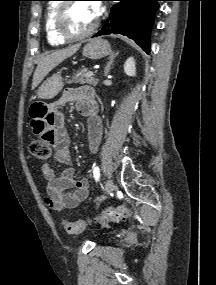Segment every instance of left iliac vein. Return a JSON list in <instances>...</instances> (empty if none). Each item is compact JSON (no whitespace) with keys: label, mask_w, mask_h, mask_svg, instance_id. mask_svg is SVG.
Instances as JSON below:
<instances>
[{"label":"left iliac vein","mask_w":216,"mask_h":285,"mask_svg":"<svg viewBox=\"0 0 216 285\" xmlns=\"http://www.w3.org/2000/svg\"><path fill=\"white\" fill-rule=\"evenodd\" d=\"M113 190H114V183L111 179H108L105 186V197L111 194Z\"/></svg>","instance_id":"4c4485c4"}]
</instances>
